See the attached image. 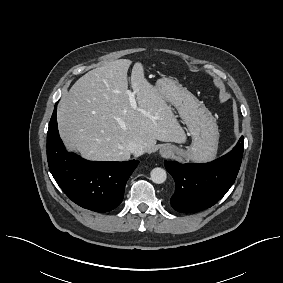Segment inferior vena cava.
Here are the masks:
<instances>
[{
	"instance_id": "1",
	"label": "inferior vena cava",
	"mask_w": 283,
	"mask_h": 283,
	"mask_svg": "<svg viewBox=\"0 0 283 283\" xmlns=\"http://www.w3.org/2000/svg\"><path fill=\"white\" fill-rule=\"evenodd\" d=\"M128 150L134 155L138 156L144 153V148L142 145L138 144L135 141H131L127 145Z\"/></svg>"
}]
</instances>
